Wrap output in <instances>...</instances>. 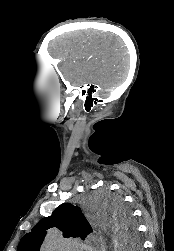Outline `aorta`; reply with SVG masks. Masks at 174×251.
<instances>
[{"instance_id": "obj_1", "label": "aorta", "mask_w": 174, "mask_h": 251, "mask_svg": "<svg viewBox=\"0 0 174 251\" xmlns=\"http://www.w3.org/2000/svg\"><path fill=\"white\" fill-rule=\"evenodd\" d=\"M103 226L108 227L112 233V236L116 242V250L132 251L131 245H129L121 236V232L118 231L117 224L113 218L108 219L103 223ZM62 238L60 233L57 230H51L48 232L45 245L47 250L50 251H60L62 250Z\"/></svg>"}]
</instances>
